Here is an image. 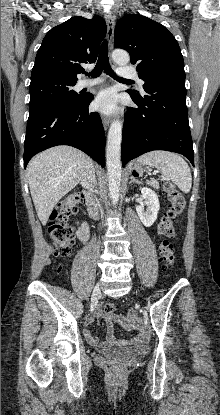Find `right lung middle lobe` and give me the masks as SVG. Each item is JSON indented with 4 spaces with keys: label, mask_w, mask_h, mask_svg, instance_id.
I'll return each instance as SVG.
<instances>
[{
    "label": "right lung middle lobe",
    "mask_w": 220,
    "mask_h": 415,
    "mask_svg": "<svg viewBox=\"0 0 220 415\" xmlns=\"http://www.w3.org/2000/svg\"><path fill=\"white\" fill-rule=\"evenodd\" d=\"M76 82L56 78H41L31 81L29 86V115L61 102H73L81 96L71 88Z\"/></svg>",
    "instance_id": "right-lung-middle-lobe-1"
}]
</instances>
